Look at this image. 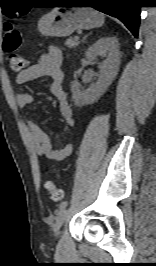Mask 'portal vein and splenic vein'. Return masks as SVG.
<instances>
[{"label": "portal vein and splenic vein", "mask_w": 156, "mask_h": 266, "mask_svg": "<svg viewBox=\"0 0 156 266\" xmlns=\"http://www.w3.org/2000/svg\"><path fill=\"white\" fill-rule=\"evenodd\" d=\"M76 39H79V37H78V36H76Z\"/></svg>", "instance_id": "18ae733b"}]
</instances>
